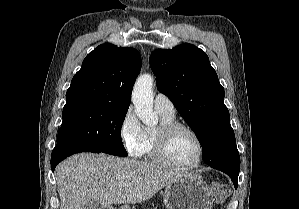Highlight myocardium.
Masks as SVG:
<instances>
[{"label": "myocardium", "instance_id": "myocardium-1", "mask_svg": "<svg viewBox=\"0 0 299 209\" xmlns=\"http://www.w3.org/2000/svg\"><path fill=\"white\" fill-rule=\"evenodd\" d=\"M179 131H186L193 136L195 141L197 142L199 152L197 160L189 165H181L174 162L169 156V144L171 137L179 132ZM153 155L155 159L163 164L164 166L178 169V170H192L197 168L204 157V144L198 135V133L192 129L191 127L179 123V122H169V123H162L154 132H153Z\"/></svg>", "mask_w": 299, "mask_h": 209}]
</instances>
